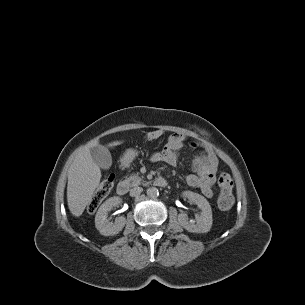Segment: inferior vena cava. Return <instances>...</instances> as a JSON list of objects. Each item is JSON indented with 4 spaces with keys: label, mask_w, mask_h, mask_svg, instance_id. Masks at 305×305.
Masks as SVG:
<instances>
[{
    "label": "inferior vena cava",
    "mask_w": 305,
    "mask_h": 305,
    "mask_svg": "<svg viewBox=\"0 0 305 305\" xmlns=\"http://www.w3.org/2000/svg\"><path fill=\"white\" fill-rule=\"evenodd\" d=\"M142 191L143 189L141 187H134L130 190V196H138L141 194Z\"/></svg>",
    "instance_id": "602c4592"
}]
</instances>
